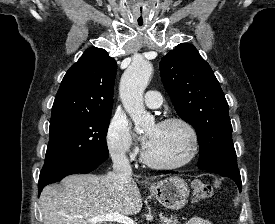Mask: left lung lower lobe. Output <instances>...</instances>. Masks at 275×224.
Here are the masks:
<instances>
[{
    "mask_svg": "<svg viewBox=\"0 0 275 224\" xmlns=\"http://www.w3.org/2000/svg\"><path fill=\"white\" fill-rule=\"evenodd\" d=\"M199 169L206 170V169H203V168H199ZM227 177L231 178L237 184V186L239 188V191H241V189H242L241 177L240 176H227Z\"/></svg>",
    "mask_w": 275,
    "mask_h": 224,
    "instance_id": "left-lung-lower-lobe-1",
    "label": "left lung lower lobe"
}]
</instances>
